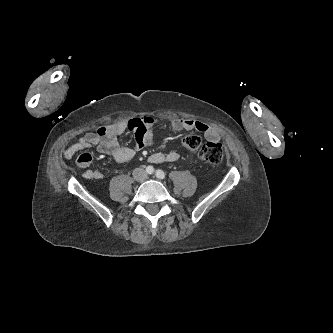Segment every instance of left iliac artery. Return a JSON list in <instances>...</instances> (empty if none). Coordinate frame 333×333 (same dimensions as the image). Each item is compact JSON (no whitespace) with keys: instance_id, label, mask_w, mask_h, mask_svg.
Segmentation results:
<instances>
[{"instance_id":"1","label":"left iliac artery","mask_w":333,"mask_h":333,"mask_svg":"<svg viewBox=\"0 0 333 333\" xmlns=\"http://www.w3.org/2000/svg\"><path fill=\"white\" fill-rule=\"evenodd\" d=\"M156 177L159 179H164L165 178V173L162 170H157L156 171Z\"/></svg>"}]
</instances>
